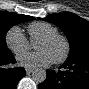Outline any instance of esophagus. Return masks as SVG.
Instances as JSON below:
<instances>
[{
  "label": "esophagus",
  "instance_id": "34e87169",
  "mask_svg": "<svg viewBox=\"0 0 89 89\" xmlns=\"http://www.w3.org/2000/svg\"><path fill=\"white\" fill-rule=\"evenodd\" d=\"M34 71V68H26V73L31 74Z\"/></svg>",
  "mask_w": 89,
  "mask_h": 89
}]
</instances>
